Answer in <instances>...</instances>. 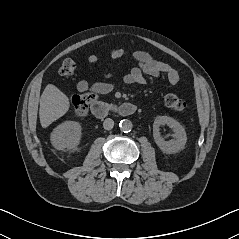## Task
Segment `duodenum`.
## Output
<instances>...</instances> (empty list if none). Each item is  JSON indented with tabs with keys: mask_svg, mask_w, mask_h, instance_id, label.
<instances>
[{
	"mask_svg": "<svg viewBox=\"0 0 239 239\" xmlns=\"http://www.w3.org/2000/svg\"><path fill=\"white\" fill-rule=\"evenodd\" d=\"M137 111V106L132 103H123L112 106L101 102L91 104V112L97 119H104L109 113L113 112L120 116H131Z\"/></svg>",
	"mask_w": 239,
	"mask_h": 239,
	"instance_id": "410a0bca",
	"label": "duodenum"
}]
</instances>
